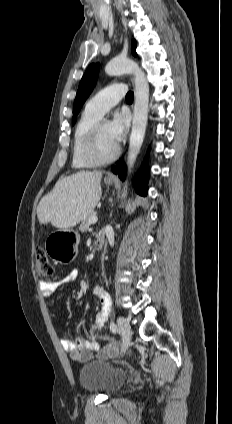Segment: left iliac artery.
<instances>
[{"mask_svg": "<svg viewBox=\"0 0 232 424\" xmlns=\"http://www.w3.org/2000/svg\"><path fill=\"white\" fill-rule=\"evenodd\" d=\"M103 312H104V315H105V317H106V319H107V318H108V316L110 315V312H111V304L106 305V306L103 308ZM110 330H111L113 333H116V332H117V326L114 324V322H110Z\"/></svg>", "mask_w": 232, "mask_h": 424, "instance_id": "1", "label": "left iliac artery"}]
</instances>
